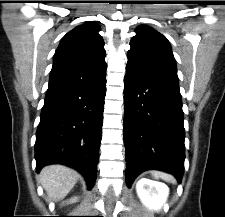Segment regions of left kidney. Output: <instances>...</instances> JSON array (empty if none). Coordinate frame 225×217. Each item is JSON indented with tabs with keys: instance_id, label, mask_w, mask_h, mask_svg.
<instances>
[{
	"instance_id": "obj_1",
	"label": "left kidney",
	"mask_w": 225,
	"mask_h": 217,
	"mask_svg": "<svg viewBox=\"0 0 225 217\" xmlns=\"http://www.w3.org/2000/svg\"><path fill=\"white\" fill-rule=\"evenodd\" d=\"M137 195L150 210L158 211L169 195V188L162 182L141 178L136 184Z\"/></svg>"
}]
</instances>
